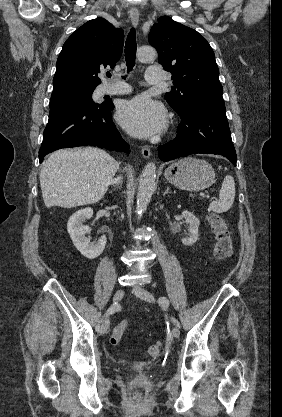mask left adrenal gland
<instances>
[{"label":"left adrenal gland","instance_id":"left-adrenal-gland-1","mask_svg":"<svg viewBox=\"0 0 282 417\" xmlns=\"http://www.w3.org/2000/svg\"><path fill=\"white\" fill-rule=\"evenodd\" d=\"M168 192H169V186H167L165 192H163L164 196H165V194H168Z\"/></svg>","mask_w":282,"mask_h":417}]
</instances>
